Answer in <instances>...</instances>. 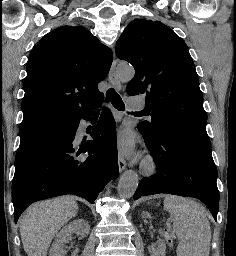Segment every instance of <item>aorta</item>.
<instances>
[{"instance_id":"762f6f07","label":"aorta","mask_w":236,"mask_h":256,"mask_svg":"<svg viewBox=\"0 0 236 256\" xmlns=\"http://www.w3.org/2000/svg\"><path fill=\"white\" fill-rule=\"evenodd\" d=\"M118 78L122 82H128L134 77V69L127 64H120L116 70ZM139 179L138 175L133 170L125 171L120 177L118 183V194L122 198H130L134 195L138 187Z\"/></svg>"}]
</instances>
